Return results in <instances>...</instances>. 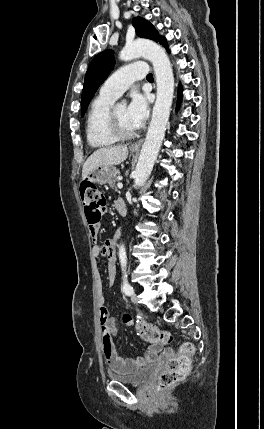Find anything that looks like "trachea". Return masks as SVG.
<instances>
[{"label": "trachea", "instance_id": "1", "mask_svg": "<svg viewBox=\"0 0 264 429\" xmlns=\"http://www.w3.org/2000/svg\"><path fill=\"white\" fill-rule=\"evenodd\" d=\"M146 79L152 80L153 79V75L152 74H148L147 77H146Z\"/></svg>", "mask_w": 264, "mask_h": 429}]
</instances>
